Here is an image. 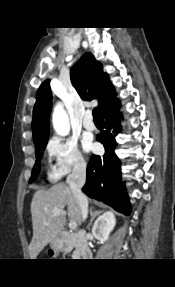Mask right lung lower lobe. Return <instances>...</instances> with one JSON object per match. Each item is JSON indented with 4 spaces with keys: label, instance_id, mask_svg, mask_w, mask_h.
Wrapping results in <instances>:
<instances>
[{
    "label": "right lung lower lobe",
    "instance_id": "obj_1",
    "mask_svg": "<svg viewBox=\"0 0 175 287\" xmlns=\"http://www.w3.org/2000/svg\"><path fill=\"white\" fill-rule=\"evenodd\" d=\"M120 103H116L101 113L102 128L98 140L105 147V154L92 155L87 167L86 184L83 192L96 200L102 201L118 212L129 215L131 212L125 184L121 181V162L114 153V137L120 129L121 115L118 116Z\"/></svg>",
    "mask_w": 175,
    "mask_h": 287
}]
</instances>
